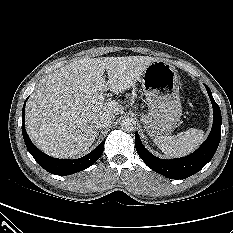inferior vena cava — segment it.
Masks as SVG:
<instances>
[{
    "label": "inferior vena cava",
    "instance_id": "obj_1",
    "mask_svg": "<svg viewBox=\"0 0 233 233\" xmlns=\"http://www.w3.org/2000/svg\"><path fill=\"white\" fill-rule=\"evenodd\" d=\"M114 115L109 113H100L93 118L95 128H105L112 124Z\"/></svg>",
    "mask_w": 233,
    "mask_h": 233
}]
</instances>
